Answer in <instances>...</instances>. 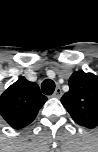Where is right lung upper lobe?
<instances>
[{
	"instance_id": "1",
	"label": "right lung upper lobe",
	"mask_w": 98,
	"mask_h": 152,
	"mask_svg": "<svg viewBox=\"0 0 98 152\" xmlns=\"http://www.w3.org/2000/svg\"><path fill=\"white\" fill-rule=\"evenodd\" d=\"M47 101L39 86L20 77L0 96V115L14 129L29 125Z\"/></svg>"
}]
</instances>
